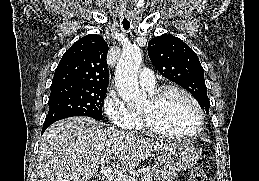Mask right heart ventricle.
<instances>
[{
    "label": "right heart ventricle",
    "instance_id": "right-heart-ventricle-1",
    "mask_svg": "<svg viewBox=\"0 0 259 181\" xmlns=\"http://www.w3.org/2000/svg\"><path fill=\"white\" fill-rule=\"evenodd\" d=\"M149 91H153V89L149 90ZM132 129L138 130V131H144L145 130L142 119H141V116L138 113H135V121H134V125H133Z\"/></svg>",
    "mask_w": 259,
    "mask_h": 181
}]
</instances>
